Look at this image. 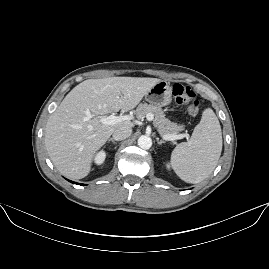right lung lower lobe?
<instances>
[{
  "label": "right lung lower lobe",
  "mask_w": 269,
  "mask_h": 269,
  "mask_svg": "<svg viewBox=\"0 0 269 269\" xmlns=\"http://www.w3.org/2000/svg\"><path fill=\"white\" fill-rule=\"evenodd\" d=\"M70 182H72V181H70ZM72 183L77 184V183H75V182H72ZM81 185H82V184H81Z\"/></svg>",
  "instance_id": "1"
}]
</instances>
